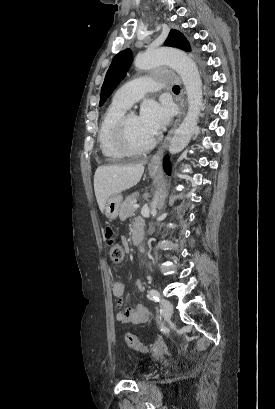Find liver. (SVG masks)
<instances>
[{"label":"liver","mask_w":275,"mask_h":409,"mask_svg":"<svg viewBox=\"0 0 275 409\" xmlns=\"http://www.w3.org/2000/svg\"><path fill=\"white\" fill-rule=\"evenodd\" d=\"M143 172L142 162L135 166H117V164L98 166L94 174V190L101 213L105 209V202L109 196L137 184Z\"/></svg>","instance_id":"6515ba94"}]
</instances>
